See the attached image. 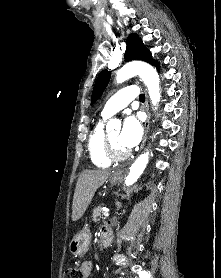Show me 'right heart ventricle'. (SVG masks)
<instances>
[{"label": "right heart ventricle", "instance_id": "obj_1", "mask_svg": "<svg viewBox=\"0 0 221 278\" xmlns=\"http://www.w3.org/2000/svg\"><path fill=\"white\" fill-rule=\"evenodd\" d=\"M106 117L102 115V118L95 124L88 137V152L92 163L101 168H107L110 166L111 161L106 157L104 153V122Z\"/></svg>", "mask_w": 221, "mask_h": 278}]
</instances>
